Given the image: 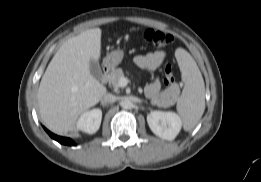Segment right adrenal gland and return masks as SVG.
<instances>
[{
  "label": "right adrenal gland",
  "instance_id": "1",
  "mask_svg": "<svg viewBox=\"0 0 261 182\" xmlns=\"http://www.w3.org/2000/svg\"><path fill=\"white\" fill-rule=\"evenodd\" d=\"M100 104H101L102 106H105V104H104V103H102V102H101Z\"/></svg>",
  "mask_w": 261,
  "mask_h": 182
}]
</instances>
